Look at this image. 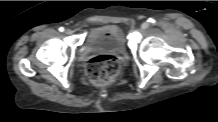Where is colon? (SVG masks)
Segmentation results:
<instances>
[{"label":"colon","mask_w":218,"mask_h":122,"mask_svg":"<svg viewBox=\"0 0 218 122\" xmlns=\"http://www.w3.org/2000/svg\"><path fill=\"white\" fill-rule=\"evenodd\" d=\"M119 70L120 63L117 57L112 55H99L89 61L86 74L92 84L107 86L116 80Z\"/></svg>","instance_id":"1"}]
</instances>
